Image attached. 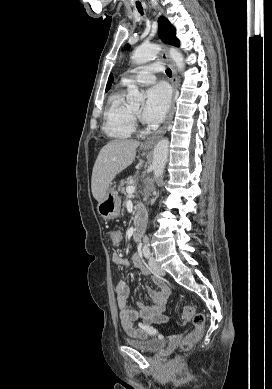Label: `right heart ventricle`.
Listing matches in <instances>:
<instances>
[{"label":"right heart ventricle","instance_id":"1","mask_svg":"<svg viewBox=\"0 0 272 389\" xmlns=\"http://www.w3.org/2000/svg\"><path fill=\"white\" fill-rule=\"evenodd\" d=\"M103 128L107 136L116 140L130 138L136 130L132 110L125 103L122 88L113 92L108 98Z\"/></svg>","mask_w":272,"mask_h":389}]
</instances>
